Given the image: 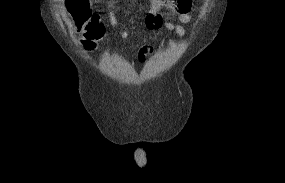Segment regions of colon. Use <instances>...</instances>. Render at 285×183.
Returning a JSON list of instances; mask_svg holds the SVG:
<instances>
[{
    "mask_svg": "<svg viewBox=\"0 0 285 183\" xmlns=\"http://www.w3.org/2000/svg\"><path fill=\"white\" fill-rule=\"evenodd\" d=\"M175 1L178 3L183 0ZM66 4L78 32L82 34L83 46L88 50L93 49L102 40L105 32L99 16L92 13L89 0H66ZM177 8L183 12L191 11L190 6L178 5Z\"/></svg>",
    "mask_w": 285,
    "mask_h": 183,
    "instance_id": "1",
    "label": "colon"
}]
</instances>
